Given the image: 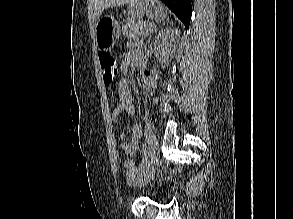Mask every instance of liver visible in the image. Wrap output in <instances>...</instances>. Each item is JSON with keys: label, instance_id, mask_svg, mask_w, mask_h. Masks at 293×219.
I'll use <instances>...</instances> for the list:
<instances>
[{"label": "liver", "instance_id": "1", "mask_svg": "<svg viewBox=\"0 0 293 219\" xmlns=\"http://www.w3.org/2000/svg\"><path fill=\"white\" fill-rule=\"evenodd\" d=\"M140 0H93V19L97 20L103 11L109 7L137 3Z\"/></svg>", "mask_w": 293, "mask_h": 219}]
</instances>
